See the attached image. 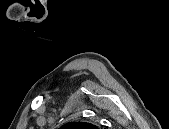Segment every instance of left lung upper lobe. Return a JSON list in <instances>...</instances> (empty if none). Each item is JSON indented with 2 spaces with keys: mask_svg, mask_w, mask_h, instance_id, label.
<instances>
[{
  "mask_svg": "<svg viewBox=\"0 0 169 129\" xmlns=\"http://www.w3.org/2000/svg\"><path fill=\"white\" fill-rule=\"evenodd\" d=\"M95 125L86 122H70L62 126V129H96Z\"/></svg>",
  "mask_w": 169,
  "mask_h": 129,
  "instance_id": "left-lung-upper-lobe-1",
  "label": "left lung upper lobe"
}]
</instances>
